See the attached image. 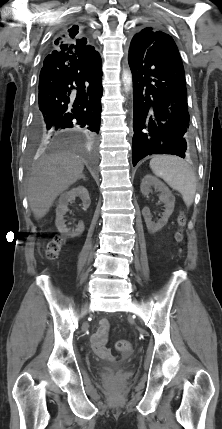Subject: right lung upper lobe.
<instances>
[{
	"label": "right lung upper lobe",
	"mask_w": 222,
	"mask_h": 429,
	"mask_svg": "<svg viewBox=\"0 0 222 429\" xmlns=\"http://www.w3.org/2000/svg\"><path fill=\"white\" fill-rule=\"evenodd\" d=\"M76 32H64L52 42V48L55 49L50 53L63 52L76 56L79 59H87L98 55V52L94 50V47L87 44V38L78 34V26H76Z\"/></svg>",
	"instance_id": "1"
}]
</instances>
